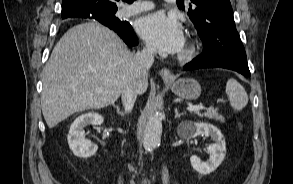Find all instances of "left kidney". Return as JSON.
Wrapping results in <instances>:
<instances>
[{"label": "left kidney", "instance_id": "left-kidney-1", "mask_svg": "<svg viewBox=\"0 0 293 184\" xmlns=\"http://www.w3.org/2000/svg\"><path fill=\"white\" fill-rule=\"evenodd\" d=\"M201 134L207 137L211 136L212 140L215 142L210 144L207 148L210 158L206 162H201L197 156L193 155L190 158V162L198 173L207 175L215 171L224 160L226 145L220 130L208 123H191L188 131L183 134V137L194 138Z\"/></svg>", "mask_w": 293, "mask_h": 184}]
</instances>
